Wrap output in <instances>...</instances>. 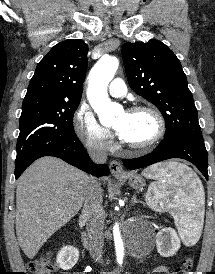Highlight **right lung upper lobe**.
I'll return each instance as SVG.
<instances>
[{
	"label": "right lung upper lobe",
	"instance_id": "obj_1",
	"mask_svg": "<svg viewBox=\"0 0 215 274\" xmlns=\"http://www.w3.org/2000/svg\"><path fill=\"white\" fill-rule=\"evenodd\" d=\"M88 46L79 39L55 45L39 62L23 103L36 100L80 102Z\"/></svg>",
	"mask_w": 215,
	"mask_h": 274
}]
</instances>
